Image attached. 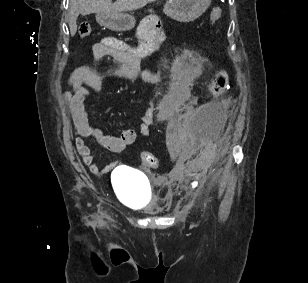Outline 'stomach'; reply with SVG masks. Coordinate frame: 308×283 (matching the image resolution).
<instances>
[{
  "mask_svg": "<svg viewBox=\"0 0 308 283\" xmlns=\"http://www.w3.org/2000/svg\"><path fill=\"white\" fill-rule=\"evenodd\" d=\"M211 0H167L164 12L179 22H191L201 16ZM98 23L113 31H128L135 26V18L124 13H98Z\"/></svg>",
  "mask_w": 308,
  "mask_h": 283,
  "instance_id": "obj_1",
  "label": "stomach"
}]
</instances>
